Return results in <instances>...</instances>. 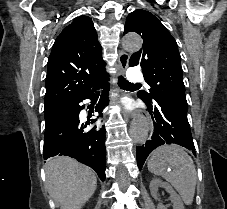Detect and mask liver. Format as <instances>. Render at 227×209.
<instances>
[{
    "mask_svg": "<svg viewBox=\"0 0 227 209\" xmlns=\"http://www.w3.org/2000/svg\"><path fill=\"white\" fill-rule=\"evenodd\" d=\"M45 171L46 189L60 209H82L96 191L94 171L70 157L50 159Z\"/></svg>",
    "mask_w": 227,
    "mask_h": 209,
    "instance_id": "liver-1",
    "label": "liver"
}]
</instances>
